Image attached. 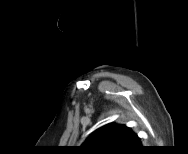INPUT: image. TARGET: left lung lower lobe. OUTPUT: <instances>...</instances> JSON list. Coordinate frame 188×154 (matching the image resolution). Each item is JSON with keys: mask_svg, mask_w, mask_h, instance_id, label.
I'll list each match as a JSON object with an SVG mask.
<instances>
[{"mask_svg": "<svg viewBox=\"0 0 188 154\" xmlns=\"http://www.w3.org/2000/svg\"><path fill=\"white\" fill-rule=\"evenodd\" d=\"M141 145V142H140V139L139 137L136 135L134 141H133V144L131 146V148H134V147H139Z\"/></svg>", "mask_w": 188, "mask_h": 154, "instance_id": "obj_1", "label": "left lung lower lobe"}]
</instances>
